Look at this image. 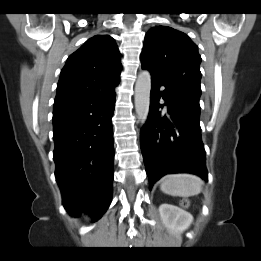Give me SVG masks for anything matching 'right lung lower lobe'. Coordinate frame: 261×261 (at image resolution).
I'll list each match as a JSON object with an SVG mask.
<instances>
[{
  "label": "right lung lower lobe",
  "mask_w": 261,
  "mask_h": 261,
  "mask_svg": "<svg viewBox=\"0 0 261 261\" xmlns=\"http://www.w3.org/2000/svg\"><path fill=\"white\" fill-rule=\"evenodd\" d=\"M114 107V88L54 103L55 177L71 215L88 210L96 221L111 203Z\"/></svg>",
  "instance_id": "right-lung-lower-lobe-1"
}]
</instances>
